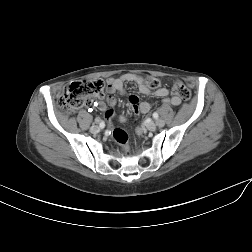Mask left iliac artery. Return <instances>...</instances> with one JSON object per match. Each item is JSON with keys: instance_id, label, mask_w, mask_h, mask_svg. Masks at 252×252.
<instances>
[{"instance_id": "1", "label": "left iliac artery", "mask_w": 252, "mask_h": 252, "mask_svg": "<svg viewBox=\"0 0 252 252\" xmlns=\"http://www.w3.org/2000/svg\"><path fill=\"white\" fill-rule=\"evenodd\" d=\"M153 117L155 118V119H158V114L157 113H153Z\"/></svg>"}]
</instances>
